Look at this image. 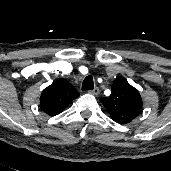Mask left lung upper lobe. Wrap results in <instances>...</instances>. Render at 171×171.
Masks as SVG:
<instances>
[{"mask_svg":"<svg viewBox=\"0 0 171 171\" xmlns=\"http://www.w3.org/2000/svg\"><path fill=\"white\" fill-rule=\"evenodd\" d=\"M100 101L111 118L120 124L130 123L142 112L139 92L122 77H118L112 84V94Z\"/></svg>","mask_w":171,"mask_h":171,"instance_id":"5c2ea615","label":"left lung upper lobe"}]
</instances>
